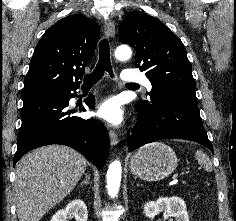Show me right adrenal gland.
Instances as JSON below:
<instances>
[{"mask_svg":"<svg viewBox=\"0 0 236 221\" xmlns=\"http://www.w3.org/2000/svg\"><path fill=\"white\" fill-rule=\"evenodd\" d=\"M85 179L80 183V187H83L85 185H88L90 182L89 174L88 172L84 173Z\"/></svg>","mask_w":236,"mask_h":221,"instance_id":"2a0ac1e0","label":"right adrenal gland"}]
</instances>
